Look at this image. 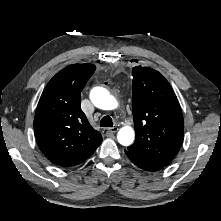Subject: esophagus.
<instances>
[{
  "mask_svg": "<svg viewBox=\"0 0 221 221\" xmlns=\"http://www.w3.org/2000/svg\"><path fill=\"white\" fill-rule=\"evenodd\" d=\"M107 131L110 133H115L118 131V127L114 126V127L107 128Z\"/></svg>",
  "mask_w": 221,
  "mask_h": 221,
  "instance_id": "esophagus-1",
  "label": "esophagus"
}]
</instances>
